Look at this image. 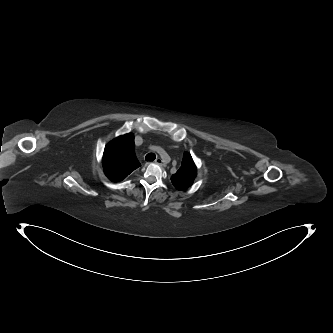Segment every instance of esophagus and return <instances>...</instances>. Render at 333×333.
Here are the masks:
<instances>
[{
    "instance_id": "esophagus-1",
    "label": "esophagus",
    "mask_w": 333,
    "mask_h": 333,
    "mask_svg": "<svg viewBox=\"0 0 333 333\" xmlns=\"http://www.w3.org/2000/svg\"><path fill=\"white\" fill-rule=\"evenodd\" d=\"M155 163L162 166L165 165L164 161L160 157L156 158Z\"/></svg>"
}]
</instances>
